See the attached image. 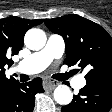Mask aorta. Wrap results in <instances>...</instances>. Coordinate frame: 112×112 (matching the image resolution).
<instances>
[{"instance_id":"1","label":"aorta","mask_w":112,"mask_h":112,"mask_svg":"<svg viewBox=\"0 0 112 112\" xmlns=\"http://www.w3.org/2000/svg\"><path fill=\"white\" fill-rule=\"evenodd\" d=\"M46 34L38 28L29 29L24 37L26 46L31 50H40L46 44ZM54 100L60 105H68L73 99V93L67 85H58L53 93Z\"/></svg>"}]
</instances>
